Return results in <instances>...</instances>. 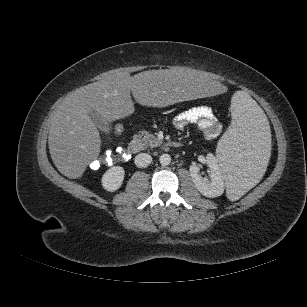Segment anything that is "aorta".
Here are the masks:
<instances>
[{"label": "aorta", "instance_id": "obj_1", "mask_svg": "<svg viewBox=\"0 0 307 307\" xmlns=\"http://www.w3.org/2000/svg\"><path fill=\"white\" fill-rule=\"evenodd\" d=\"M159 161L161 163V165L163 166H167L170 164L171 162V157L169 154H162L159 158Z\"/></svg>", "mask_w": 307, "mask_h": 307}]
</instances>
